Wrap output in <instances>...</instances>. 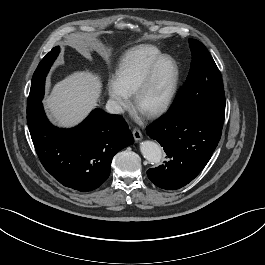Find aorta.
Instances as JSON below:
<instances>
[{
  "label": "aorta",
  "mask_w": 265,
  "mask_h": 265,
  "mask_svg": "<svg viewBox=\"0 0 265 265\" xmlns=\"http://www.w3.org/2000/svg\"><path fill=\"white\" fill-rule=\"evenodd\" d=\"M143 157L151 164H158L162 158L161 147L153 141H144L140 145Z\"/></svg>",
  "instance_id": "aorta-1"
}]
</instances>
